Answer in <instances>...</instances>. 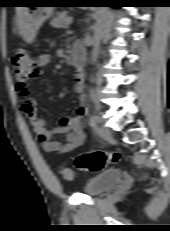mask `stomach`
I'll return each mask as SVG.
<instances>
[{
    "label": "stomach",
    "mask_w": 170,
    "mask_h": 231,
    "mask_svg": "<svg viewBox=\"0 0 170 231\" xmlns=\"http://www.w3.org/2000/svg\"><path fill=\"white\" fill-rule=\"evenodd\" d=\"M32 3L44 4L49 1L34 0ZM54 11V7H22L16 20V31L27 43L34 41L39 28L49 19Z\"/></svg>",
    "instance_id": "0dacf381"
}]
</instances>
